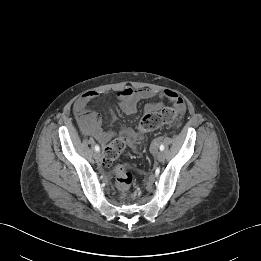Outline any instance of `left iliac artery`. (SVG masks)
I'll use <instances>...</instances> for the list:
<instances>
[{
    "label": "left iliac artery",
    "instance_id": "obj_1",
    "mask_svg": "<svg viewBox=\"0 0 261 261\" xmlns=\"http://www.w3.org/2000/svg\"><path fill=\"white\" fill-rule=\"evenodd\" d=\"M164 148H165V147H164V145H163V144H161V145H160V147H159L160 151H163V150H164Z\"/></svg>",
    "mask_w": 261,
    "mask_h": 261
}]
</instances>
